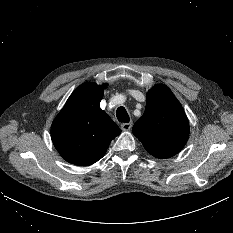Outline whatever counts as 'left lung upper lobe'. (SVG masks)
I'll return each instance as SVG.
<instances>
[{
	"label": "left lung upper lobe",
	"mask_w": 233,
	"mask_h": 233,
	"mask_svg": "<svg viewBox=\"0 0 233 233\" xmlns=\"http://www.w3.org/2000/svg\"><path fill=\"white\" fill-rule=\"evenodd\" d=\"M132 132L156 158L172 157L184 147L189 137L188 119L167 86L155 85L147 93L145 112Z\"/></svg>",
	"instance_id": "1"
}]
</instances>
